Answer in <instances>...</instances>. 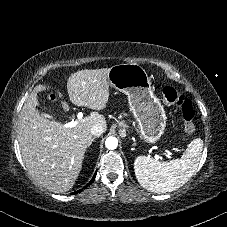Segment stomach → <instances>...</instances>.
I'll return each instance as SVG.
<instances>
[{"mask_svg": "<svg viewBox=\"0 0 227 227\" xmlns=\"http://www.w3.org/2000/svg\"><path fill=\"white\" fill-rule=\"evenodd\" d=\"M111 87L127 95L131 111L138 122L140 137L153 144L160 140L166 127V114L151 88L150 77L136 63L118 64L110 68Z\"/></svg>", "mask_w": 227, "mask_h": 227, "instance_id": "obj_1", "label": "stomach"}]
</instances>
